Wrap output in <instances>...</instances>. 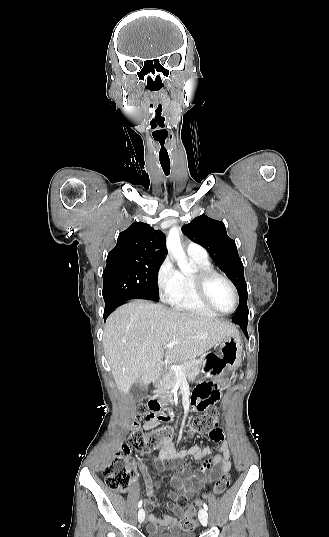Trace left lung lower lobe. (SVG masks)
<instances>
[{
  "label": "left lung lower lobe",
  "instance_id": "1",
  "mask_svg": "<svg viewBox=\"0 0 329 537\" xmlns=\"http://www.w3.org/2000/svg\"><path fill=\"white\" fill-rule=\"evenodd\" d=\"M247 323H248V320H245L241 323L240 327L243 329V331L245 332V334H247Z\"/></svg>",
  "mask_w": 329,
  "mask_h": 537
}]
</instances>
